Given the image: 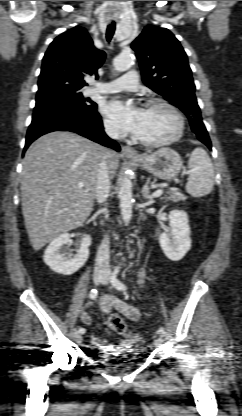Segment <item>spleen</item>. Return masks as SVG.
Here are the masks:
<instances>
[{"mask_svg": "<svg viewBox=\"0 0 242 416\" xmlns=\"http://www.w3.org/2000/svg\"><path fill=\"white\" fill-rule=\"evenodd\" d=\"M189 178L186 191L193 197L209 194L214 185V168L207 152L200 147L195 148L188 161Z\"/></svg>", "mask_w": 242, "mask_h": 416, "instance_id": "1", "label": "spleen"}]
</instances>
